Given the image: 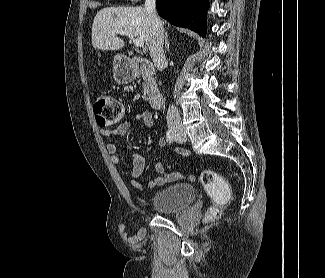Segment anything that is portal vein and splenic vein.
<instances>
[{"mask_svg":"<svg viewBox=\"0 0 325 278\" xmlns=\"http://www.w3.org/2000/svg\"><path fill=\"white\" fill-rule=\"evenodd\" d=\"M117 33L123 34V35H127L130 39L133 40L134 45L138 48H141L144 46V40L140 37H134V35L128 31V30H116Z\"/></svg>","mask_w":325,"mask_h":278,"instance_id":"obj_1","label":"portal vein and splenic vein"}]
</instances>
